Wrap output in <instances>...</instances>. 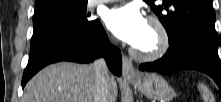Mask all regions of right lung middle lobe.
<instances>
[{"label": "right lung middle lobe", "mask_w": 221, "mask_h": 102, "mask_svg": "<svg viewBox=\"0 0 221 102\" xmlns=\"http://www.w3.org/2000/svg\"><path fill=\"white\" fill-rule=\"evenodd\" d=\"M87 0H46L35 6L31 48L46 38L67 30H85L99 20L86 12Z\"/></svg>", "instance_id": "right-lung-middle-lobe-1"}]
</instances>
